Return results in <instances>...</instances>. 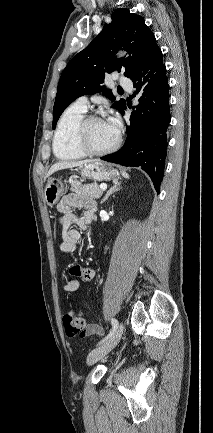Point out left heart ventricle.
<instances>
[{
    "instance_id": "1",
    "label": "left heart ventricle",
    "mask_w": 213,
    "mask_h": 433,
    "mask_svg": "<svg viewBox=\"0 0 213 433\" xmlns=\"http://www.w3.org/2000/svg\"><path fill=\"white\" fill-rule=\"evenodd\" d=\"M87 139L96 150H104L112 146L117 139V131L105 120H94L87 128Z\"/></svg>"
}]
</instances>
